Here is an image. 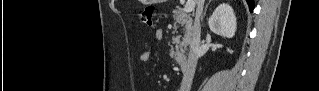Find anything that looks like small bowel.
<instances>
[{"label": "small bowel", "instance_id": "1", "mask_svg": "<svg viewBox=\"0 0 319 91\" xmlns=\"http://www.w3.org/2000/svg\"><path fill=\"white\" fill-rule=\"evenodd\" d=\"M160 36L161 35L159 33L156 35V37H160ZM140 58H141V61L144 63L150 62L152 60V51L147 50V51L143 52Z\"/></svg>", "mask_w": 319, "mask_h": 91}]
</instances>
